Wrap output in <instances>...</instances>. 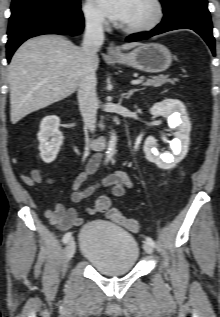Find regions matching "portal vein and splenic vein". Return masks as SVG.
I'll return each mask as SVG.
<instances>
[{
	"mask_svg": "<svg viewBox=\"0 0 220 317\" xmlns=\"http://www.w3.org/2000/svg\"><path fill=\"white\" fill-rule=\"evenodd\" d=\"M140 83H142V80H133V81H131L132 85H138Z\"/></svg>",
	"mask_w": 220,
	"mask_h": 317,
	"instance_id": "18ae733b",
	"label": "portal vein and splenic vein"
}]
</instances>
